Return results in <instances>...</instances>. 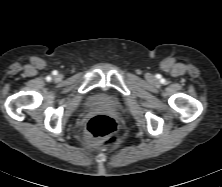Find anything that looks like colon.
Returning a JSON list of instances; mask_svg holds the SVG:
<instances>
[{
    "mask_svg": "<svg viewBox=\"0 0 222 187\" xmlns=\"http://www.w3.org/2000/svg\"><path fill=\"white\" fill-rule=\"evenodd\" d=\"M85 137L106 146L116 144L119 141L116 120L106 114L91 117L85 127Z\"/></svg>",
    "mask_w": 222,
    "mask_h": 187,
    "instance_id": "1",
    "label": "colon"
}]
</instances>
